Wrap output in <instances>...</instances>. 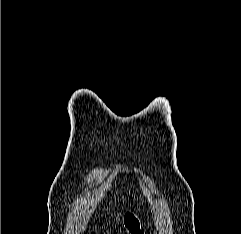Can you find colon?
<instances>
[{"label": "colon", "instance_id": "5ec220e1", "mask_svg": "<svg viewBox=\"0 0 241 234\" xmlns=\"http://www.w3.org/2000/svg\"><path fill=\"white\" fill-rule=\"evenodd\" d=\"M122 220L130 233L145 234L141 225V221L137 215L133 213H126L122 215Z\"/></svg>", "mask_w": 241, "mask_h": 234}]
</instances>
